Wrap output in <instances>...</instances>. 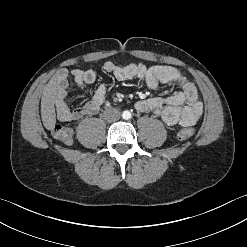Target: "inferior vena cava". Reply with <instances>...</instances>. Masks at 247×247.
Listing matches in <instances>:
<instances>
[{
    "label": "inferior vena cava",
    "mask_w": 247,
    "mask_h": 247,
    "mask_svg": "<svg viewBox=\"0 0 247 247\" xmlns=\"http://www.w3.org/2000/svg\"><path fill=\"white\" fill-rule=\"evenodd\" d=\"M103 116L107 121L112 122L120 118V112L117 109L111 108L107 109Z\"/></svg>",
    "instance_id": "1"
}]
</instances>
